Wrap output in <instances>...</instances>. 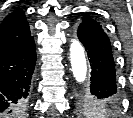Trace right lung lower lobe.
Here are the masks:
<instances>
[{"mask_svg": "<svg viewBox=\"0 0 133 118\" xmlns=\"http://www.w3.org/2000/svg\"><path fill=\"white\" fill-rule=\"evenodd\" d=\"M36 63L33 37L0 55V118H20Z\"/></svg>", "mask_w": 133, "mask_h": 118, "instance_id": "obj_1", "label": "right lung lower lobe"}]
</instances>
